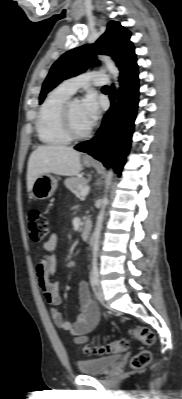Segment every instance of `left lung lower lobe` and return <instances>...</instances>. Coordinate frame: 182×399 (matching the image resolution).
Returning a JSON list of instances; mask_svg holds the SVG:
<instances>
[{
    "label": "left lung lower lobe",
    "instance_id": "1",
    "mask_svg": "<svg viewBox=\"0 0 182 399\" xmlns=\"http://www.w3.org/2000/svg\"><path fill=\"white\" fill-rule=\"evenodd\" d=\"M138 80L137 65L120 75L121 87L117 105L114 104L115 89L112 86L109 96L112 106L105 114L96 136L75 146L76 150L89 153L104 166L113 165L119 175L125 164L134 130L139 95Z\"/></svg>",
    "mask_w": 182,
    "mask_h": 399
}]
</instances>
